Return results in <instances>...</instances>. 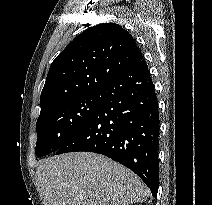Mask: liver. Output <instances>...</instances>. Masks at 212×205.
I'll return each mask as SVG.
<instances>
[{
    "label": "liver",
    "instance_id": "1",
    "mask_svg": "<svg viewBox=\"0 0 212 205\" xmlns=\"http://www.w3.org/2000/svg\"><path fill=\"white\" fill-rule=\"evenodd\" d=\"M36 174L43 205H129L149 196L131 170L92 152L47 158Z\"/></svg>",
    "mask_w": 212,
    "mask_h": 205
}]
</instances>
